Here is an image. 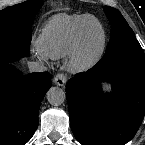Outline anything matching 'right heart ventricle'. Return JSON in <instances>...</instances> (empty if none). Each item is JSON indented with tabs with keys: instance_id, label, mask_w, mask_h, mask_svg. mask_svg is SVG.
<instances>
[{
	"instance_id": "right-heart-ventricle-1",
	"label": "right heart ventricle",
	"mask_w": 145,
	"mask_h": 145,
	"mask_svg": "<svg viewBox=\"0 0 145 145\" xmlns=\"http://www.w3.org/2000/svg\"><path fill=\"white\" fill-rule=\"evenodd\" d=\"M96 20L90 14H57L41 29L35 40L36 48L49 58H64L77 43L80 29Z\"/></svg>"
}]
</instances>
